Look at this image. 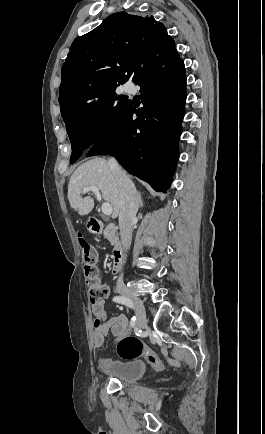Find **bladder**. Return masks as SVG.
Segmentation results:
<instances>
[{
  "instance_id": "obj_1",
  "label": "bladder",
  "mask_w": 265,
  "mask_h": 434,
  "mask_svg": "<svg viewBox=\"0 0 265 434\" xmlns=\"http://www.w3.org/2000/svg\"><path fill=\"white\" fill-rule=\"evenodd\" d=\"M109 374L125 383H134L147 372L146 364L137 359L113 363L108 369Z\"/></svg>"
}]
</instances>
